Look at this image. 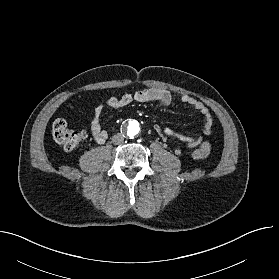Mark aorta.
<instances>
[{
  "label": "aorta",
  "instance_id": "obj_1",
  "mask_svg": "<svg viewBox=\"0 0 279 279\" xmlns=\"http://www.w3.org/2000/svg\"><path fill=\"white\" fill-rule=\"evenodd\" d=\"M125 130L128 136L134 137L140 131L139 123L135 120H131L125 124Z\"/></svg>",
  "mask_w": 279,
  "mask_h": 279
}]
</instances>
